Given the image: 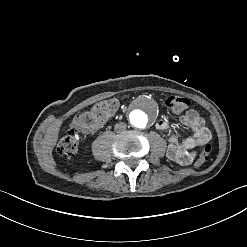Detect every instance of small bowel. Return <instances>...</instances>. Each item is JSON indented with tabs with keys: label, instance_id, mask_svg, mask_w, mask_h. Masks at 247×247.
<instances>
[{
	"label": "small bowel",
	"instance_id": "c3829d8e",
	"mask_svg": "<svg viewBox=\"0 0 247 247\" xmlns=\"http://www.w3.org/2000/svg\"><path fill=\"white\" fill-rule=\"evenodd\" d=\"M106 120L92 126H82L75 123L74 127L83 134H91L102 128ZM181 122L189 127L193 134L182 140H178L176 136H172L168 145L167 156L176 164L187 166L194 160L196 155L195 150L203 146L208 140L207 132L209 131L205 125V120L193 109L188 110L181 117ZM156 129L163 133L168 132L169 124L165 120H159L156 123Z\"/></svg>",
	"mask_w": 247,
	"mask_h": 247
}]
</instances>
